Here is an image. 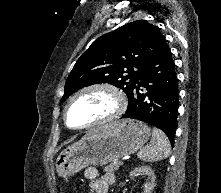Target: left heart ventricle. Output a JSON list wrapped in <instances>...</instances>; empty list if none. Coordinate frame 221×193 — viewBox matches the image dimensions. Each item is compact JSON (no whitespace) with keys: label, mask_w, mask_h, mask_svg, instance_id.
<instances>
[{"label":"left heart ventricle","mask_w":221,"mask_h":193,"mask_svg":"<svg viewBox=\"0 0 221 193\" xmlns=\"http://www.w3.org/2000/svg\"><path fill=\"white\" fill-rule=\"evenodd\" d=\"M114 105L111 96L103 92H90L78 97L68 111L71 126H84L108 113Z\"/></svg>","instance_id":"1"}]
</instances>
